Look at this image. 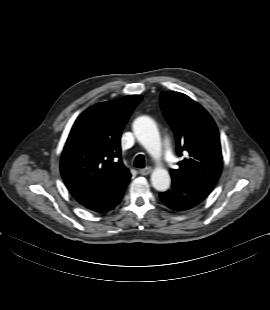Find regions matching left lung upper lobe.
I'll return each instance as SVG.
<instances>
[{"mask_svg": "<svg viewBox=\"0 0 270 310\" xmlns=\"http://www.w3.org/2000/svg\"><path fill=\"white\" fill-rule=\"evenodd\" d=\"M163 113L177 140V153L186 155L172 177L185 182L214 187L222 170L218 129L207 111L187 95L165 91L161 96Z\"/></svg>", "mask_w": 270, "mask_h": 310, "instance_id": "obj_1", "label": "left lung upper lobe"}]
</instances>
